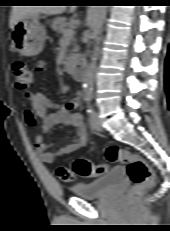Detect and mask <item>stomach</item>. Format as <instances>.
<instances>
[{"label": "stomach", "mask_w": 170, "mask_h": 231, "mask_svg": "<svg viewBox=\"0 0 170 231\" xmlns=\"http://www.w3.org/2000/svg\"><path fill=\"white\" fill-rule=\"evenodd\" d=\"M12 32L13 44L21 55L36 56L43 50L46 30L39 22V15L24 17Z\"/></svg>", "instance_id": "0dacf381"}]
</instances>
